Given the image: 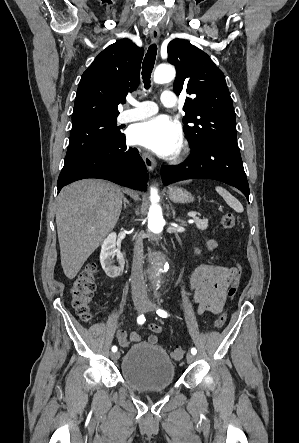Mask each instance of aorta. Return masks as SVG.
I'll return each mask as SVG.
<instances>
[{
	"label": "aorta",
	"instance_id": "1",
	"mask_svg": "<svg viewBox=\"0 0 299 443\" xmlns=\"http://www.w3.org/2000/svg\"><path fill=\"white\" fill-rule=\"evenodd\" d=\"M175 69L171 65H159L154 72L155 83L170 82L175 78ZM160 197L156 188L150 190L151 205L148 212L147 231L151 236H160L164 231V219L162 209L159 205Z\"/></svg>",
	"mask_w": 299,
	"mask_h": 443
}]
</instances>
